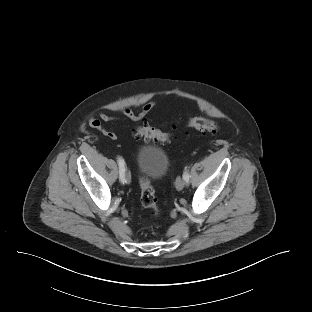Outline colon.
Wrapping results in <instances>:
<instances>
[{
  "mask_svg": "<svg viewBox=\"0 0 312 312\" xmlns=\"http://www.w3.org/2000/svg\"><path fill=\"white\" fill-rule=\"evenodd\" d=\"M187 126L188 128L199 132L215 133L219 130V124L215 120L205 117L193 118L188 122ZM134 135L138 138H143L146 141L152 142L166 141L170 138L169 133L150 126L146 123L137 127ZM140 187V199L142 205L149 210L152 217H159L161 214V209L158 205L154 188L150 180L147 177L142 176L140 178Z\"/></svg>",
  "mask_w": 312,
  "mask_h": 312,
  "instance_id": "obj_1",
  "label": "colon"
}]
</instances>
